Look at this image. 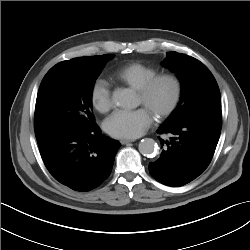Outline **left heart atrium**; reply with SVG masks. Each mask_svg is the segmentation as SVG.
<instances>
[{
  "mask_svg": "<svg viewBox=\"0 0 250 250\" xmlns=\"http://www.w3.org/2000/svg\"><path fill=\"white\" fill-rule=\"evenodd\" d=\"M153 114L145 106L134 110H117L105 121V130L113 137L135 139L145 133Z\"/></svg>",
  "mask_w": 250,
  "mask_h": 250,
  "instance_id": "left-heart-atrium-1",
  "label": "left heart atrium"
}]
</instances>
